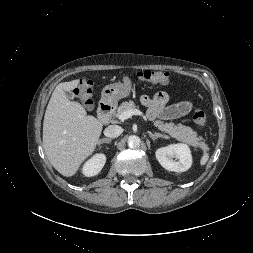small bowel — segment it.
<instances>
[{
	"label": "small bowel",
	"instance_id": "small-bowel-1",
	"mask_svg": "<svg viewBox=\"0 0 253 253\" xmlns=\"http://www.w3.org/2000/svg\"><path fill=\"white\" fill-rule=\"evenodd\" d=\"M169 95L165 91L156 93L153 97L143 95L141 102L148 108L150 119L161 118L164 120L176 119L188 114L192 109L190 101H182L168 105Z\"/></svg>",
	"mask_w": 253,
	"mask_h": 253
}]
</instances>
